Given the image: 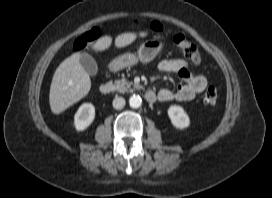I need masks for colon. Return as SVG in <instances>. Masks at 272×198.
Returning a JSON list of instances; mask_svg holds the SVG:
<instances>
[{"instance_id": "5ec220e1", "label": "colon", "mask_w": 272, "mask_h": 198, "mask_svg": "<svg viewBox=\"0 0 272 198\" xmlns=\"http://www.w3.org/2000/svg\"><path fill=\"white\" fill-rule=\"evenodd\" d=\"M150 30L154 33H162L163 27L159 23H151ZM100 36V30L97 27L91 28L86 33L81 35L74 44L77 51L85 50L90 44L95 42ZM172 41L177 49L193 64L199 65L201 61L200 52L198 47L188 40L183 34L172 35ZM217 101V91L213 86L206 88L203 94V102L208 106L215 105Z\"/></svg>"}]
</instances>
